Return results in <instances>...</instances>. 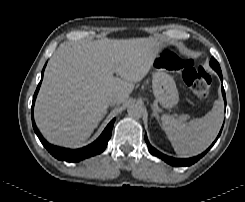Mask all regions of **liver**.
I'll list each match as a JSON object with an SVG mask.
<instances>
[{
	"label": "liver",
	"mask_w": 245,
	"mask_h": 202,
	"mask_svg": "<svg viewBox=\"0 0 245 202\" xmlns=\"http://www.w3.org/2000/svg\"><path fill=\"white\" fill-rule=\"evenodd\" d=\"M161 47L153 38L62 44L48 63L35 104L43 136L65 147L85 142L107 112L106 98L118 94V104L125 102Z\"/></svg>",
	"instance_id": "obj_1"
}]
</instances>
